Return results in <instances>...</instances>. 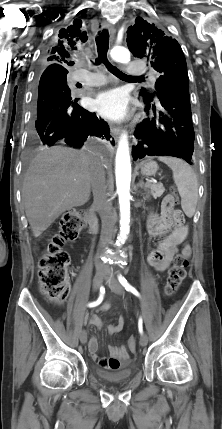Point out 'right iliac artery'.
Instances as JSON below:
<instances>
[{
  "label": "right iliac artery",
  "mask_w": 222,
  "mask_h": 429,
  "mask_svg": "<svg viewBox=\"0 0 222 429\" xmlns=\"http://www.w3.org/2000/svg\"><path fill=\"white\" fill-rule=\"evenodd\" d=\"M104 292H105V289L103 287H101L99 298L96 301L89 303L87 306L91 308V307H96L97 305H99L103 300Z\"/></svg>",
  "instance_id": "right-iliac-artery-1"
}]
</instances>
